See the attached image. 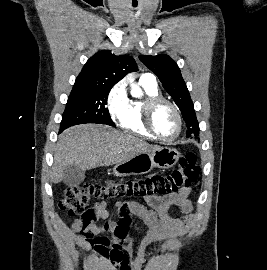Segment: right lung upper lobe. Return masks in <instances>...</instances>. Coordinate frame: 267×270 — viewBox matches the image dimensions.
Wrapping results in <instances>:
<instances>
[{
    "label": "right lung upper lobe",
    "mask_w": 267,
    "mask_h": 270,
    "mask_svg": "<svg viewBox=\"0 0 267 270\" xmlns=\"http://www.w3.org/2000/svg\"><path fill=\"white\" fill-rule=\"evenodd\" d=\"M135 60L128 55L116 56L103 50L92 56L76 78L75 87L114 86L126 74L137 71Z\"/></svg>",
    "instance_id": "1"
}]
</instances>
